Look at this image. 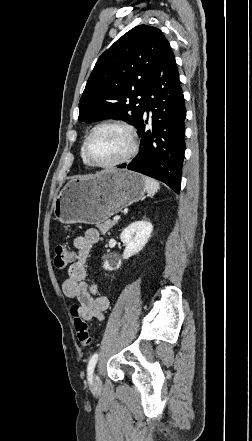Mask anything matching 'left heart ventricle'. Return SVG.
Instances as JSON below:
<instances>
[{"label": "left heart ventricle", "instance_id": "1", "mask_svg": "<svg viewBox=\"0 0 252 441\" xmlns=\"http://www.w3.org/2000/svg\"><path fill=\"white\" fill-rule=\"evenodd\" d=\"M129 148L125 132L116 127H104L89 141L88 154L98 163H109L121 158Z\"/></svg>", "mask_w": 252, "mask_h": 441}]
</instances>
